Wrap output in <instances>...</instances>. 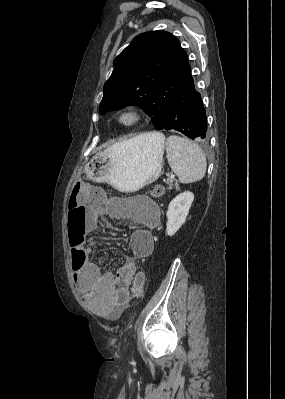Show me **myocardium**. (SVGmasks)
<instances>
[{"mask_svg":"<svg viewBox=\"0 0 285 399\" xmlns=\"http://www.w3.org/2000/svg\"><path fill=\"white\" fill-rule=\"evenodd\" d=\"M145 116L143 108L137 105H129L120 110L117 121L123 127H133L138 124Z\"/></svg>","mask_w":285,"mask_h":399,"instance_id":"f54148a6","label":"myocardium"}]
</instances>
